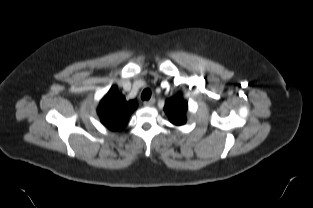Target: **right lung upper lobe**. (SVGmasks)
Returning a JSON list of instances; mask_svg holds the SVG:
<instances>
[{
    "label": "right lung upper lobe",
    "mask_w": 313,
    "mask_h": 208,
    "mask_svg": "<svg viewBox=\"0 0 313 208\" xmlns=\"http://www.w3.org/2000/svg\"><path fill=\"white\" fill-rule=\"evenodd\" d=\"M136 108V100L127 101L113 86L101 99L97 113L105 127L111 131H121Z\"/></svg>",
    "instance_id": "obj_1"
}]
</instances>
